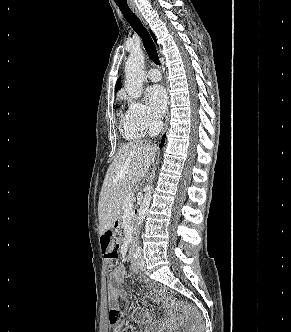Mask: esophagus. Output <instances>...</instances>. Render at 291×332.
I'll use <instances>...</instances> for the list:
<instances>
[{"instance_id":"1","label":"esophagus","mask_w":291,"mask_h":332,"mask_svg":"<svg viewBox=\"0 0 291 332\" xmlns=\"http://www.w3.org/2000/svg\"><path fill=\"white\" fill-rule=\"evenodd\" d=\"M131 8L133 9V11H135V13L137 14V16L143 21L142 15L140 14V12L134 7V5L130 4ZM168 119H169V115H167L166 120H165V126H164V131L167 128L168 125Z\"/></svg>"}]
</instances>
